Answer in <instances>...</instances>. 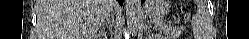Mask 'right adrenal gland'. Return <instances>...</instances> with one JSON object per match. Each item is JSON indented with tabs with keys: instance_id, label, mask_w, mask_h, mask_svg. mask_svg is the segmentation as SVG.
<instances>
[{
	"instance_id": "2a0ac1e0",
	"label": "right adrenal gland",
	"mask_w": 249,
	"mask_h": 39,
	"mask_svg": "<svg viewBox=\"0 0 249 39\" xmlns=\"http://www.w3.org/2000/svg\"><path fill=\"white\" fill-rule=\"evenodd\" d=\"M103 30H105V27L103 28ZM101 36H106V33L103 31V33H101Z\"/></svg>"
}]
</instances>
